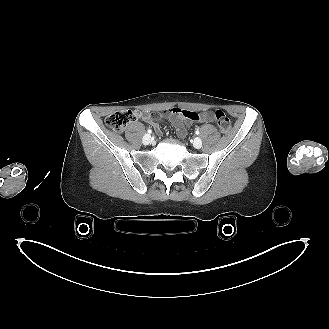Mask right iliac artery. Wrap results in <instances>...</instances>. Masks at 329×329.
<instances>
[{"label": "right iliac artery", "instance_id": "right-iliac-artery-1", "mask_svg": "<svg viewBox=\"0 0 329 329\" xmlns=\"http://www.w3.org/2000/svg\"><path fill=\"white\" fill-rule=\"evenodd\" d=\"M147 132H148L149 134H151V133H152V130L149 129Z\"/></svg>", "mask_w": 329, "mask_h": 329}]
</instances>
